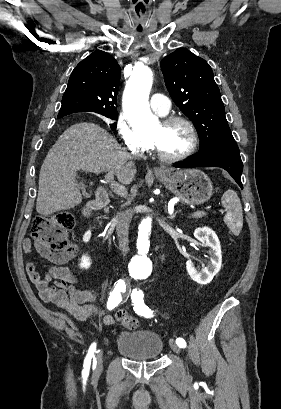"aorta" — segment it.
I'll list each match as a JSON object with an SVG mask.
<instances>
[{
  "label": "aorta",
  "instance_id": "aorta-1",
  "mask_svg": "<svg viewBox=\"0 0 281 409\" xmlns=\"http://www.w3.org/2000/svg\"><path fill=\"white\" fill-rule=\"evenodd\" d=\"M152 81V71L139 64L125 89L124 112L132 128L139 133H147L158 125V119L151 113L148 103ZM139 227L142 233L148 232L151 228V218L144 219Z\"/></svg>",
  "mask_w": 281,
  "mask_h": 409
}]
</instances>
